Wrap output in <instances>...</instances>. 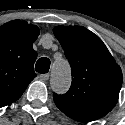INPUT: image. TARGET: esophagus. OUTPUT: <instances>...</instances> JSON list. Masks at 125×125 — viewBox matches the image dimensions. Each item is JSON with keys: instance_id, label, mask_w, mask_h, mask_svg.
Here are the masks:
<instances>
[{"instance_id": "esophagus-1", "label": "esophagus", "mask_w": 125, "mask_h": 125, "mask_svg": "<svg viewBox=\"0 0 125 125\" xmlns=\"http://www.w3.org/2000/svg\"><path fill=\"white\" fill-rule=\"evenodd\" d=\"M39 78H40V80L46 81V80L49 79V74H40V75H39Z\"/></svg>"}]
</instances>
